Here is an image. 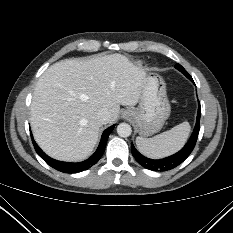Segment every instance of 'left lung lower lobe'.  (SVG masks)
Masks as SVG:
<instances>
[{"mask_svg": "<svg viewBox=\"0 0 233 233\" xmlns=\"http://www.w3.org/2000/svg\"><path fill=\"white\" fill-rule=\"evenodd\" d=\"M190 80L193 81V79L189 76L188 77ZM200 116H201V108L200 104L198 107V114H197V120H196V125L193 130V133L189 139V141L186 143V145L176 154L166 157L164 159H159V160H153L149 159L142 154H140L133 144L131 145V152L134 156V158L138 161L139 164H141L143 167L153 170V171H166L173 169L180 165L193 151L198 134H199V129H200Z\"/></svg>", "mask_w": 233, "mask_h": 233, "instance_id": "obj_1", "label": "left lung lower lobe"}]
</instances>
